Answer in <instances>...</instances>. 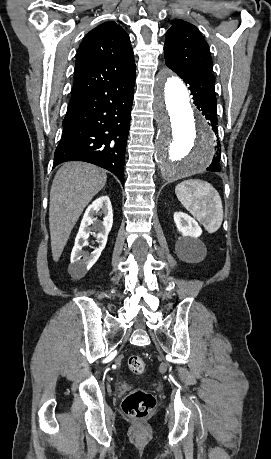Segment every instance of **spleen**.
I'll return each mask as SVG.
<instances>
[{
	"mask_svg": "<svg viewBox=\"0 0 271 459\" xmlns=\"http://www.w3.org/2000/svg\"><path fill=\"white\" fill-rule=\"evenodd\" d=\"M175 194L184 208L193 214L208 233H214L223 222L221 198L208 182L186 180L175 188Z\"/></svg>",
	"mask_w": 271,
	"mask_h": 459,
	"instance_id": "spleen-1",
	"label": "spleen"
}]
</instances>
